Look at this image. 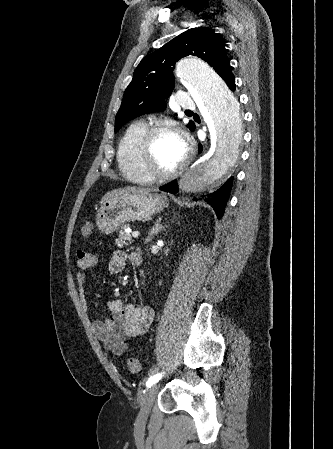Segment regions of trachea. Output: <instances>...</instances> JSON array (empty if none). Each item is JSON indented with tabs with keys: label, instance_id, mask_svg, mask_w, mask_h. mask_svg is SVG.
Instances as JSON below:
<instances>
[{
	"label": "trachea",
	"instance_id": "trachea-1",
	"mask_svg": "<svg viewBox=\"0 0 333 449\" xmlns=\"http://www.w3.org/2000/svg\"><path fill=\"white\" fill-rule=\"evenodd\" d=\"M186 112H191V111H189V110H186Z\"/></svg>",
	"mask_w": 333,
	"mask_h": 449
}]
</instances>
